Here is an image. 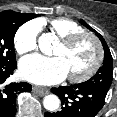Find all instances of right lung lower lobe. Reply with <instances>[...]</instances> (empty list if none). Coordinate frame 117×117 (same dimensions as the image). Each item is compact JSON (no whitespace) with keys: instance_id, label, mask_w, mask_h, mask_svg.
<instances>
[{"instance_id":"98d812e1","label":"right lung lower lobe","mask_w":117,"mask_h":117,"mask_svg":"<svg viewBox=\"0 0 117 117\" xmlns=\"http://www.w3.org/2000/svg\"><path fill=\"white\" fill-rule=\"evenodd\" d=\"M17 63L13 66L0 68V117H14L16 114V97L20 92H30L29 83H10L5 85L6 79L13 74Z\"/></svg>"}]
</instances>
